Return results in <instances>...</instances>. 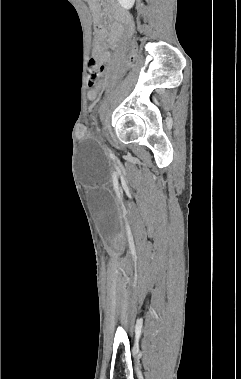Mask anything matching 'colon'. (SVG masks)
Returning <instances> with one entry per match:
<instances>
[{"label": "colon", "instance_id": "obj_1", "mask_svg": "<svg viewBox=\"0 0 241 379\" xmlns=\"http://www.w3.org/2000/svg\"><path fill=\"white\" fill-rule=\"evenodd\" d=\"M129 42L130 43H135L136 42V37L135 36H130L129 37ZM140 44H131L130 45V51L128 54V57L125 59V64L126 65H133L136 62L137 57L139 56V51H140ZM102 74V66L101 64L95 59L92 58L89 61V66H88V85L89 87H92L95 85L97 80L100 78ZM127 74V69L126 68H121L119 75L116 76L117 80H121L122 77H124ZM106 87L103 84H98L97 85V95L100 99H103L106 95Z\"/></svg>", "mask_w": 241, "mask_h": 379}]
</instances>
